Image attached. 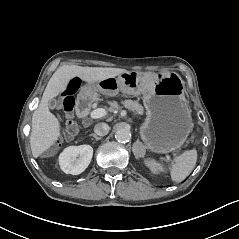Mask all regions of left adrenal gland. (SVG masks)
<instances>
[{
  "instance_id": "obj_1",
  "label": "left adrenal gland",
  "mask_w": 239,
  "mask_h": 239,
  "mask_svg": "<svg viewBox=\"0 0 239 239\" xmlns=\"http://www.w3.org/2000/svg\"><path fill=\"white\" fill-rule=\"evenodd\" d=\"M136 145H140V144H139V141H136V143H135L134 146H133V152H134L135 155H136V150H135Z\"/></svg>"
}]
</instances>
